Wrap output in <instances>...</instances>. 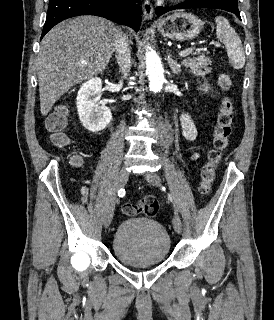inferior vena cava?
Returning <instances> with one entry per match:
<instances>
[{"instance_id":"602c4592","label":"inferior vena cava","mask_w":274,"mask_h":320,"mask_svg":"<svg viewBox=\"0 0 274 320\" xmlns=\"http://www.w3.org/2000/svg\"><path fill=\"white\" fill-rule=\"evenodd\" d=\"M115 32V50L117 54V64L119 66L121 74H123V78H126V76H128L131 64L130 50L128 48V38L127 36H122L120 30H115Z\"/></svg>"}]
</instances>
